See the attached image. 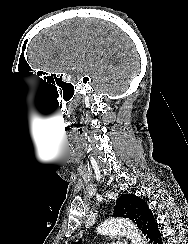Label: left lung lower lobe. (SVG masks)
Here are the masks:
<instances>
[{
	"label": "left lung lower lobe",
	"instance_id": "obj_1",
	"mask_svg": "<svg viewBox=\"0 0 188 244\" xmlns=\"http://www.w3.org/2000/svg\"><path fill=\"white\" fill-rule=\"evenodd\" d=\"M142 233L146 237L148 243L150 244H163L161 233L158 228V224L156 223L152 211L149 212L145 218Z\"/></svg>",
	"mask_w": 188,
	"mask_h": 244
}]
</instances>
